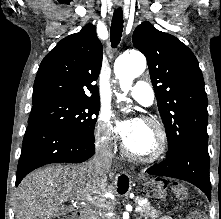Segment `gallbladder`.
Returning <instances> with one entry per match:
<instances>
[{"instance_id":"1","label":"gallbladder","mask_w":221,"mask_h":219,"mask_svg":"<svg viewBox=\"0 0 221 219\" xmlns=\"http://www.w3.org/2000/svg\"><path fill=\"white\" fill-rule=\"evenodd\" d=\"M68 211H69L68 208H63V209L60 210L58 215L66 214Z\"/></svg>"}]
</instances>
